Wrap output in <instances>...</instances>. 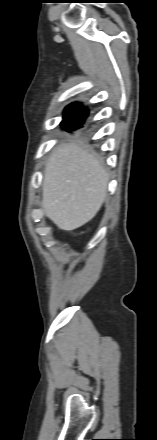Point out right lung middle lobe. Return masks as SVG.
Masks as SVG:
<instances>
[{
  "label": "right lung middle lobe",
  "mask_w": 157,
  "mask_h": 440,
  "mask_svg": "<svg viewBox=\"0 0 157 440\" xmlns=\"http://www.w3.org/2000/svg\"><path fill=\"white\" fill-rule=\"evenodd\" d=\"M62 126L65 130L70 131L81 127V124L75 121H65V122L63 121Z\"/></svg>",
  "instance_id": "obj_1"
}]
</instances>
